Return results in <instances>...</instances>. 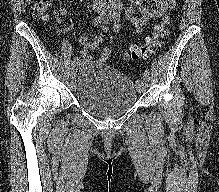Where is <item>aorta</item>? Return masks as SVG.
Returning <instances> with one entry per match:
<instances>
[{"mask_svg": "<svg viewBox=\"0 0 219 192\" xmlns=\"http://www.w3.org/2000/svg\"><path fill=\"white\" fill-rule=\"evenodd\" d=\"M109 2L112 4V5H119L121 3V0H109Z\"/></svg>", "mask_w": 219, "mask_h": 192, "instance_id": "aorta-1", "label": "aorta"}]
</instances>
